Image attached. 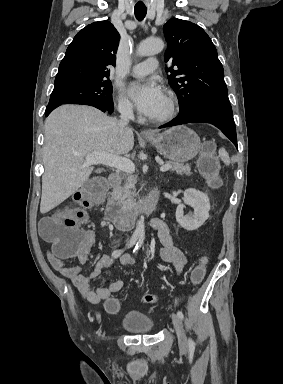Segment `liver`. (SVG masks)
Masks as SVG:
<instances>
[{
	"label": "liver",
	"instance_id": "6515ba94",
	"mask_svg": "<svg viewBox=\"0 0 283 384\" xmlns=\"http://www.w3.org/2000/svg\"><path fill=\"white\" fill-rule=\"evenodd\" d=\"M46 146L42 158L41 214H47L87 180L93 168L84 166L91 152L128 154L133 150L131 128L121 132L116 118H109L90 106H59L45 120Z\"/></svg>",
	"mask_w": 283,
	"mask_h": 384
}]
</instances>
